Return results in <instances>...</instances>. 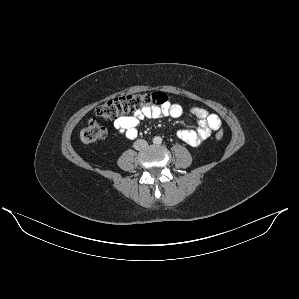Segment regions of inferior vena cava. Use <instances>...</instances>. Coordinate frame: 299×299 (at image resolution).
<instances>
[{
	"instance_id": "602c4592",
	"label": "inferior vena cava",
	"mask_w": 299,
	"mask_h": 299,
	"mask_svg": "<svg viewBox=\"0 0 299 299\" xmlns=\"http://www.w3.org/2000/svg\"><path fill=\"white\" fill-rule=\"evenodd\" d=\"M148 146V143L147 141L143 140V139H139V140H136L134 142V148L136 150H143L145 149L146 147Z\"/></svg>"
}]
</instances>
